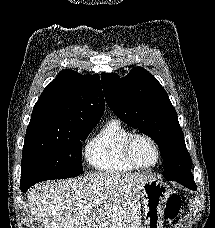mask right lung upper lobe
<instances>
[{"mask_svg": "<svg viewBox=\"0 0 215 228\" xmlns=\"http://www.w3.org/2000/svg\"><path fill=\"white\" fill-rule=\"evenodd\" d=\"M105 101L98 75L63 70L49 83L33 108L27 132L76 123L98 122Z\"/></svg>", "mask_w": 215, "mask_h": 228, "instance_id": "obj_1", "label": "right lung upper lobe"}]
</instances>
